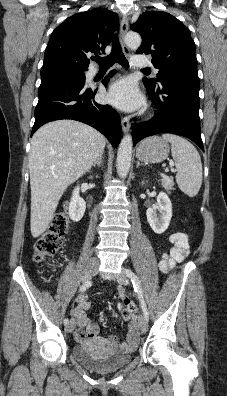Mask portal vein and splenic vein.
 Listing matches in <instances>:
<instances>
[{
	"instance_id": "portal-vein-and-splenic-vein-1",
	"label": "portal vein and splenic vein",
	"mask_w": 227,
	"mask_h": 396,
	"mask_svg": "<svg viewBox=\"0 0 227 396\" xmlns=\"http://www.w3.org/2000/svg\"><path fill=\"white\" fill-rule=\"evenodd\" d=\"M171 166H174V163H171Z\"/></svg>"
}]
</instances>
